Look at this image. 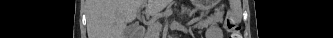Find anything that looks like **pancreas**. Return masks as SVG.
Segmentation results:
<instances>
[{"label":"pancreas","instance_id":"pancreas-1","mask_svg":"<svg viewBox=\"0 0 333 38\" xmlns=\"http://www.w3.org/2000/svg\"><path fill=\"white\" fill-rule=\"evenodd\" d=\"M160 29L158 24H154L152 27L148 28L146 32L147 38H153L154 34H156Z\"/></svg>","mask_w":333,"mask_h":38}]
</instances>
